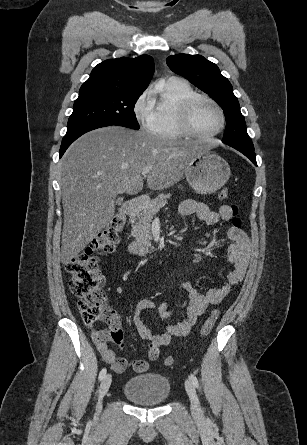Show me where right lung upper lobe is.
I'll use <instances>...</instances> for the list:
<instances>
[{"mask_svg":"<svg viewBox=\"0 0 307 445\" xmlns=\"http://www.w3.org/2000/svg\"><path fill=\"white\" fill-rule=\"evenodd\" d=\"M154 61L149 55L108 59L98 64L81 86L79 96L105 94L140 96L150 83Z\"/></svg>","mask_w":307,"mask_h":445,"instance_id":"obj_1","label":"right lung upper lobe"}]
</instances>
